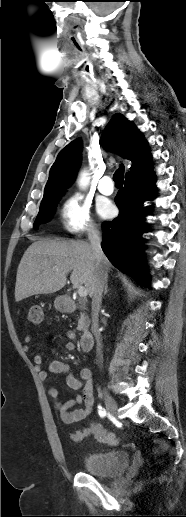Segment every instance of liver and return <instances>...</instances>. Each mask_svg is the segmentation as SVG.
<instances>
[{
	"mask_svg": "<svg viewBox=\"0 0 186 517\" xmlns=\"http://www.w3.org/2000/svg\"><path fill=\"white\" fill-rule=\"evenodd\" d=\"M106 270L111 266L105 257ZM73 286H85L93 296L96 258L92 246L84 241L39 240L25 251L16 275L15 301L37 294L59 291L66 285L67 275Z\"/></svg>",
	"mask_w": 186,
	"mask_h": 517,
	"instance_id": "obj_1",
	"label": "liver"
}]
</instances>
